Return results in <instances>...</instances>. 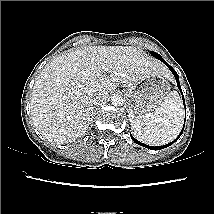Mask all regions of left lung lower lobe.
<instances>
[{
	"instance_id": "0a47b994",
	"label": "left lung lower lobe",
	"mask_w": 214,
	"mask_h": 214,
	"mask_svg": "<svg viewBox=\"0 0 214 214\" xmlns=\"http://www.w3.org/2000/svg\"><path fill=\"white\" fill-rule=\"evenodd\" d=\"M161 61H162L164 64H166L167 67L171 70V72L173 73V75L175 76V79H176V81H177V86H178V88L180 89V91L182 92L181 87H180V83H179V77H178V74L176 73V71H175L170 65H168L164 59H162ZM182 95H183V94H182ZM184 105H185V103H184ZM183 129H184V127H183ZM183 129H182L181 133L179 134V136H178L173 142H171V143H169V144H167V145L159 146V147H156V146L154 147V146L145 145V144L139 142L138 140H136L133 136H131V138H132V140H133L135 143L140 144L141 146H144V147L149 148V149H151V150L164 149V148L170 146V145H171L172 143H174L176 140H178V138L181 136V134H182V132H183Z\"/></svg>"
}]
</instances>
